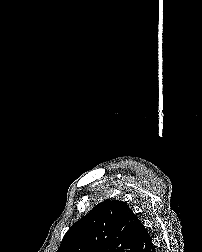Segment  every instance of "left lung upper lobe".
I'll list each match as a JSON object with an SVG mask.
<instances>
[{"instance_id": "5c2ea615", "label": "left lung upper lobe", "mask_w": 202, "mask_h": 252, "mask_svg": "<svg viewBox=\"0 0 202 252\" xmlns=\"http://www.w3.org/2000/svg\"><path fill=\"white\" fill-rule=\"evenodd\" d=\"M140 224L124 202L105 200L71 226L57 252H133Z\"/></svg>"}]
</instances>
